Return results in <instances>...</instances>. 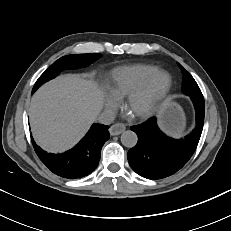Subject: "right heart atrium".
<instances>
[{"instance_id": "right-heart-atrium-1", "label": "right heart atrium", "mask_w": 231, "mask_h": 231, "mask_svg": "<svg viewBox=\"0 0 231 231\" xmlns=\"http://www.w3.org/2000/svg\"><path fill=\"white\" fill-rule=\"evenodd\" d=\"M119 104V99L110 95L106 99V109L109 113L113 112Z\"/></svg>"}]
</instances>
